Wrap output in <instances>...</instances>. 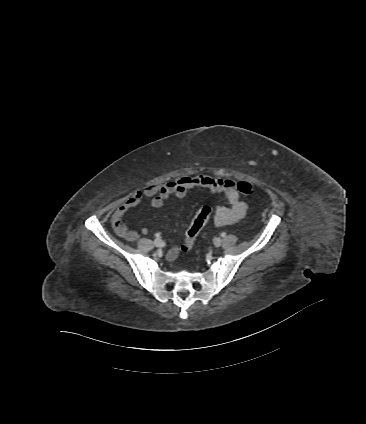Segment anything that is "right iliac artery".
Listing matches in <instances>:
<instances>
[{"label": "right iliac artery", "mask_w": 366, "mask_h": 424, "mask_svg": "<svg viewBox=\"0 0 366 424\" xmlns=\"http://www.w3.org/2000/svg\"><path fill=\"white\" fill-rule=\"evenodd\" d=\"M155 237H157V238H158V237H159V234H155Z\"/></svg>", "instance_id": "obj_1"}]
</instances>
